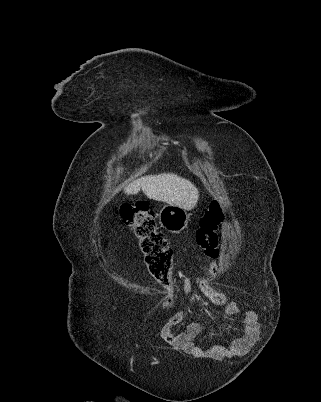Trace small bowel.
Here are the masks:
<instances>
[{"label":"small bowel","mask_w":321,"mask_h":402,"mask_svg":"<svg viewBox=\"0 0 321 402\" xmlns=\"http://www.w3.org/2000/svg\"><path fill=\"white\" fill-rule=\"evenodd\" d=\"M190 279L184 278V283L188 284ZM228 314L235 316L239 313L234 303L226 305ZM244 338H235L234 344H204L202 347L197 345L196 340L201 334V325L195 322L189 323L183 332H176V328L186 318L187 312L181 311L172 316L164 327V336L174 347L184 350L185 358H245L246 353H252L256 346V339L261 337L259 331L260 320H256L257 313L251 307L243 310Z\"/></svg>","instance_id":"c3829d8e"}]
</instances>
